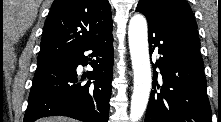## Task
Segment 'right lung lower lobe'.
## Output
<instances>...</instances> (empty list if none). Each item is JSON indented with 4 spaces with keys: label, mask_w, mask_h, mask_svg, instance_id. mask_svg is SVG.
Returning a JSON list of instances; mask_svg holds the SVG:
<instances>
[{
    "label": "right lung lower lobe",
    "mask_w": 221,
    "mask_h": 122,
    "mask_svg": "<svg viewBox=\"0 0 221 122\" xmlns=\"http://www.w3.org/2000/svg\"><path fill=\"white\" fill-rule=\"evenodd\" d=\"M92 51L96 57L88 72L91 83L78 81L76 67L87 65ZM113 68L112 31L84 48L36 70L24 122L63 115L84 122H108Z\"/></svg>",
    "instance_id": "1"
}]
</instances>
